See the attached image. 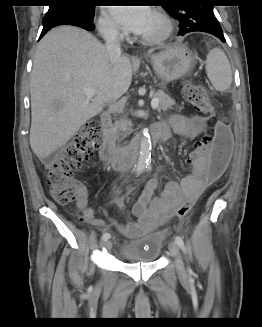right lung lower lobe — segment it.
<instances>
[{
  "instance_id": "right-lung-lower-lobe-1",
  "label": "right lung lower lobe",
  "mask_w": 262,
  "mask_h": 327,
  "mask_svg": "<svg viewBox=\"0 0 262 327\" xmlns=\"http://www.w3.org/2000/svg\"><path fill=\"white\" fill-rule=\"evenodd\" d=\"M93 18L94 17H86L74 12L55 11L47 13L43 18V29L39 39H41L51 28L59 25H73L92 31L94 30V25L92 23Z\"/></svg>"
}]
</instances>
